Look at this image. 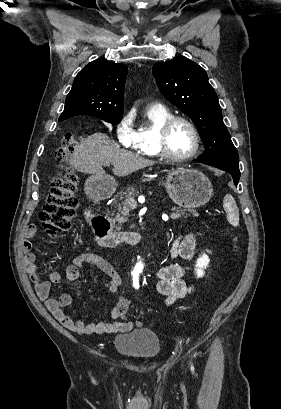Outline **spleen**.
I'll return each instance as SVG.
<instances>
[{
	"mask_svg": "<svg viewBox=\"0 0 281 409\" xmlns=\"http://www.w3.org/2000/svg\"><path fill=\"white\" fill-rule=\"evenodd\" d=\"M223 209L227 213V221L233 227H238L239 225V209L236 205V200L233 198L232 194H225L223 200Z\"/></svg>",
	"mask_w": 281,
	"mask_h": 409,
	"instance_id": "3e777b00",
	"label": "spleen"
}]
</instances>
